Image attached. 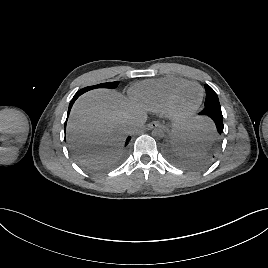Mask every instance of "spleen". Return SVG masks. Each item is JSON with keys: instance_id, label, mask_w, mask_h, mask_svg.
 <instances>
[{"instance_id": "spleen-1", "label": "spleen", "mask_w": 268, "mask_h": 268, "mask_svg": "<svg viewBox=\"0 0 268 268\" xmlns=\"http://www.w3.org/2000/svg\"><path fill=\"white\" fill-rule=\"evenodd\" d=\"M218 136L219 131L216 126L212 125L210 118L200 115L186 129L185 139L189 148L181 147L180 151L191 155L200 154L205 151L206 147L213 145Z\"/></svg>"}]
</instances>
